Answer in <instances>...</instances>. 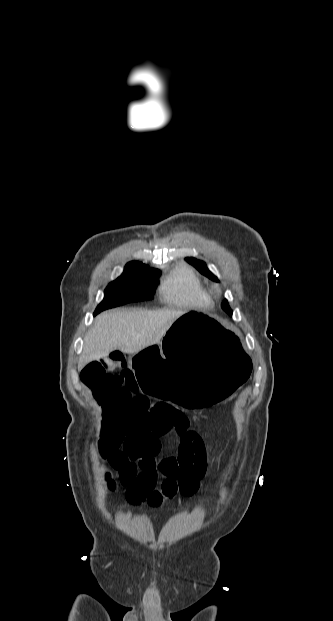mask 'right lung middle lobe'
<instances>
[{"label": "right lung middle lobe", "instance_id": "right-lung-middle-lobe-1", "mask_svg": "<svg viewBox=\"0 0 333 621\" xmlns=\"http://www.w3.org/2000/svg\"><path fill=\"white\" fill-rule=\"evenodd\" d=\"M160 270L138 265H126L124 272L111 282L104 292L103 301L94 315L129 302L152 300Z\"/></svg>", "mask_w": 333, "mask_h": 621}]
</instances>
